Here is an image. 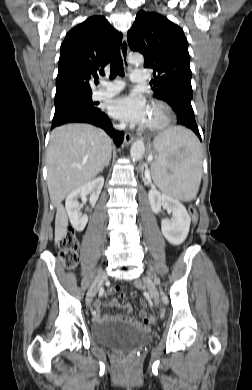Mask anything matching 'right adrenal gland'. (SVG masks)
Listing matches in <instances>:
<instances>
[{"mask_svg":"<svg viewBox=\"0 0 252 390\" xmlns=\"http://www.w3.org/2000/svg\"><path fill=\"white\" fill-rule=\"evenodd\" d=\"M110 160H111V156L109 157L108 161L103 165V167L101 168L100 172H102L105 167L109 166Z\"/></svg>","mask_w":252,"mask_h":390,"instance_id":"1","label":"right adrenal gland"}]
</instances>
